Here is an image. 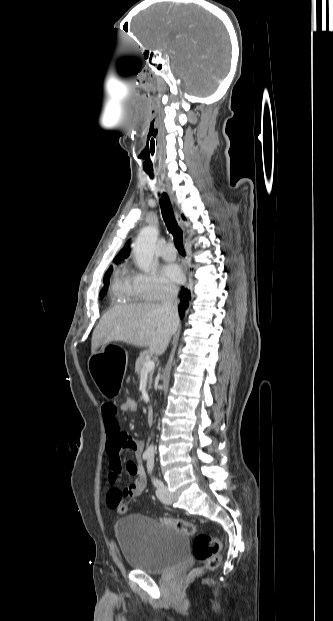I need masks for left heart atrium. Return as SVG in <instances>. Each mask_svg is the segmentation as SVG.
Returning <instances> with one entry per match:
<instances>
[{"mask_svg": "<svg viewBox=\"0 0 333 621\" xmlns=\"http://www.w3.org/2000/svg\"><path fill=\"white\" fill-rule=\"evenodd\" d=\"M164 279L172 284H178L183 280V273L177 264H167L162 268Z\"/></svg>", "mask_w": 333, "mask_h": 621, "instance_id": "1", "label": "left heart atrium"}]
</instances>
